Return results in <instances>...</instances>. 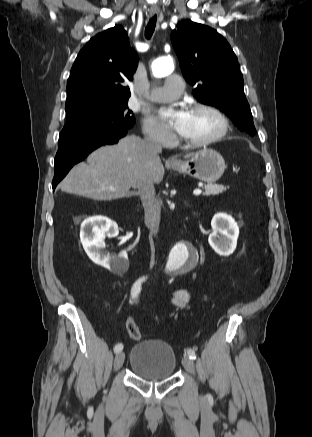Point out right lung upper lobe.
<instances>
[{
    "mask_svg": "<svg viewBox=\"0 0 312 437\" xmlns=\"http://www.w3.org/2000/svg\"><path fill=\"white\" fill-rule=\"evenodd\" d=\"M126 31L120 25L107 29L80 50L67 81L66 107L82 102L128 101L138 63Z\"/></svg>",
    "mask_w": 312,
    "mask_h": 437,
    "instance_id": "obj_1",
    "label": "right lung upper lobe"
}]
</instances>
